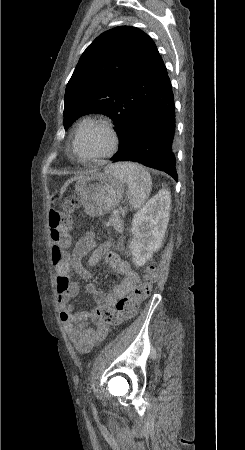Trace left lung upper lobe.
Segmentation results:
<instances>
[{"instance_id": "1", "label": "left lung upper lobe", "mask_w": 245, "mask_h": 450, "mask_svg": "<svg viewBox=\"0 0 245 450\" xmlns=\"http://www.w3.org/2000/svg\"><path fill=\"white\" fill-rule=\"evenodd\" d=\"M167 69L153 40L132 26L102 33L82 54L64 97V128L80 116L104 113L115 122L121 150L143 106Z\"/></svg>"}]
</instances>
